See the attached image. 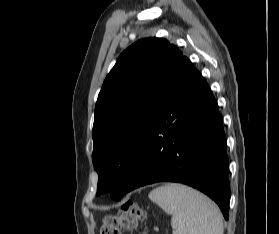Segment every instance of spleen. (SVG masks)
Instances as JSON below:
<instances>
[{"mask_svg": "<svg viewBox=\"0 0 279 234\" xmlns=\"http://www.w3.org/2000/svg\"><path fill=\"white\" fill-rule=\"evenodd\" d=\"M149 198L172 215L173 234H223L217 205L191 187L168 183L152 190Z\"/></svg>", "mask_w": 279, "mask_h": 234, "instance_id": "obj_1", "label": "spleen"}]
</instances>
